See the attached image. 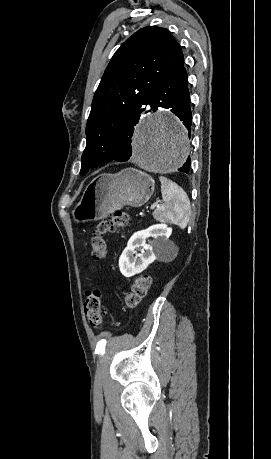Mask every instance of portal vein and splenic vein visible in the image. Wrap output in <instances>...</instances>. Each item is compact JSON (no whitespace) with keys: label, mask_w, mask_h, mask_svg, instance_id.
Segmentation results:
<instances>
[{"label":"portal vein and splenic vein","mask_w":271,"mask_h":459,"mask_svg":"<svg viewBox=\"0 0 271 459\" xmlns=\"http://www.w3.org/2000/svg\"><path fill=\"white\" fill-rule=\"evenodd\" d=\"M157 208H158V204H156ZM155 206H151L150 210H154Z\"/></svg>","instance_id":"1"}]
</instances>
